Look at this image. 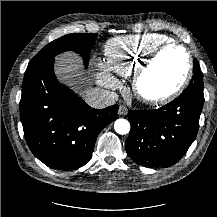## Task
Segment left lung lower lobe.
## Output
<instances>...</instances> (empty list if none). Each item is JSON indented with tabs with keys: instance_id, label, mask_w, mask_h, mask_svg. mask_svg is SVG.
Here are the masks:
<instances>
[{
	"instance_id": "1",
	"label": "left lung lower lobe",
	"mask_w": 217,
	"mask_h": 217,
	"mask_svg": "<svg viewBox=\"0 0 217 217\" xmlns=\"http://www.w3.org/2000/svg\"><path fill=\"white\" fill-rule=\"evenodd\" d=\"M203 103V91L188 86L161 108L131 111V130L125 142L129 157L145 167L177 163L197 135Z\"/></svg>"
}]
</instances>
